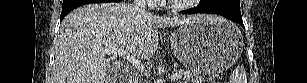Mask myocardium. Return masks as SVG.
<instances>
[{
	"label": "myocardium",
	"instance_id": "1",
	"mask_svg": "<svg viewBox=\"0 0 307 83\" xmlns=\"http://www.w3.org/2000/svg\"><path fill=\"white\" fill-rule=\"evenodd\" d=\"M195 2H199V0H185L180 2L168 1L164 2L162 7L172 12H181L187 10L191 4Z\"/></svg>",
	"mask_w": 307,
	"mask_h": 83
}]
</instances>
